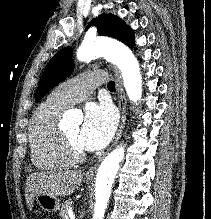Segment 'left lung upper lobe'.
<instances>
[{
    "instance_id": "5c2ea615",
    "label": "left lung upper lobe",
    "mask_w": 211,
    "mask_h": 219,
    "mask_svg": "<svg viewBox=\"0 0 211 219\" xmlns=\"http://www.w3.org/2000/svg\"><path fill=\"white\" fill-rule=\"evenodd\" d=\"M91 25L97 27L100 35L116 38L127 44L130 48L134 47L135 41L133 31L119 17L113 14H101L90 22L86 29ZM72 53V48H63L50 60L42 73L35 94L36 102H38L51 88L73 72L74 63L72 61Z\"/></svg>"
}]
</instances>
